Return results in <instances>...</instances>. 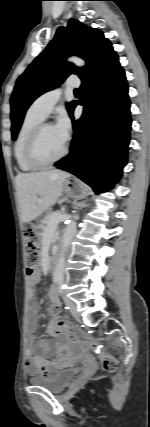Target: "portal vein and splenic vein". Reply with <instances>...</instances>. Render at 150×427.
<instances>
[{
  "label": "portal vein and splenic vein",
  "instance_id": "portal-vein-and-splenic-vein-1",
  "mask_svg": "<svg viewBox=\"0 0 150 427\" xmlns=\"http://www.w3.org/2000/svg\"><path fill=\"white\" fill-rule=\"evenodd\" d=\"M38 201V199H37ZM69 218L68 215L61 216L58 212L54 214L53 219L50 221L49 226L53 227L54 223L58 222L60 219Z\"/></svg>",
  "mask_w": 150,
  "mask_h": 427
}]
</instances>
